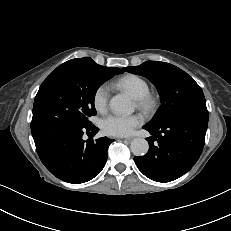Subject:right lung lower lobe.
<instances>
[{
  "mask_svg": "<svg viewBox=\"0 0 231 231\" xmlns=\"http://www.w3.org/2000/svg\"><path fill=\"white\" fill-rule=\"evenodd\" d=\"M93 124L65 130L46 142H36L37 153L45 167L57 178L73 184L87 182L104 168L107 150L114 141L107 137L83 140L84 133L96 134Z\"/></svg>",
  "mask_w": 231,
  "mask_h": 231,
  "instance_id": "98d812e1",
  "label": "right lung lower lobe"
}]
</instances>
